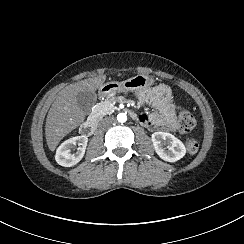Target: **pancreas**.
<instances>
[{"label": "pancreas", "mask_w": 244, "mask_h": 244, "mask_svg": "<svg viewBox=\"0 0 244 244\" xmlns=\"http://www.w3.org/2000/svg\"><path fill=\"white\" fill-rule=\"evenodd\" d=\"M101 110L105 113H109L112 110V102L110 99H107L105 101H102L99 104Z\"/></svg>", "instance_id": "1"}]
</instances>
